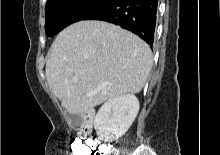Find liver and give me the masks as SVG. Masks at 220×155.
<instances>
[{
    "label": "liver",
    "instance_id": "liver-1",
    "mask_svg": "<svg viewBox=\"0 0 220 155\" xmlns=\"http://www.w3.org/2000/svg\"><path fill=\"white\" fill-rule=\"evenodd\" d=\"M151 67L152 52L135 34L107 22L80 21L55 38L46 79L67 112L80 114L123 94L139 93Z\"/></svg>",
    "mask_w": 220,
    "mask_h": 155
}]
</instances>
